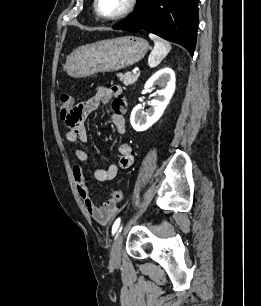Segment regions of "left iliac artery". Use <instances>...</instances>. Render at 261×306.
Segmentation results:
<instances>
[{"label": "left iliac artery", "mask_w": 261, "mask_h": 306, "mask_svg": "<svg viewBox=\"0 0 261 306\" xmlns=\"http://www.w3.org/2000/svg\"><path fill=\"white\" fill-rule=\"evenodd\" d=\"M120 221L121 219L120 218H117L116 221L114 222L113 226H112V234L114 235L118 228H119V225H120Z\"/></svg>", "instance_id": "1"}]
</instances>
